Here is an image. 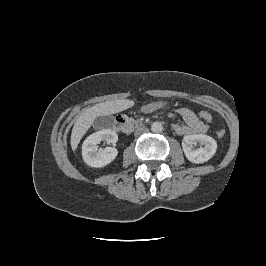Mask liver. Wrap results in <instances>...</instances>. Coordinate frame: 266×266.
Returning <instances> with one entry per match:
<instances>
[{
	"mask_svg": "<svg viewBox=\"0 0 266 266\" xmlns=\"http://www.w3.org/2000/svg\"><path fill=\"white\" fill-rule=\"evenodd\" d=\"M134 106V101L129 99H118L98 103L90 108L84 109L74 123L71 134V148L76 150L80 140L91 127L94 120L99 116H109L124 111Z\"/></svg>",
	"mask_w": 266,
	"mask_h": 266,
	"instance_id": "liver-1",
	"label": "liver"
}]
</instances>
